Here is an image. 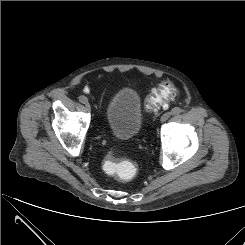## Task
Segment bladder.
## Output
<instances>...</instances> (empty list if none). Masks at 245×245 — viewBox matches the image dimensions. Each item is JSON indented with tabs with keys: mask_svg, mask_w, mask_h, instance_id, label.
<instances>
[{
	"mask_svg": "<svg viewBox=\"0 0 245 245\" xmlns=\"http://www.w3.org/2000/svg\"><path fill=\"white\" fill-rule=\"evenodd\" d=\"M105 121L120 138L138 135L144 124L141 98L132 88H123L113 95L105 111Z\"/></svg>",
	"mask_w": 245,
	"mask_h": 245,
	"instance_id": "bladder-1",
	"label": "bladder"
}]
</instances>
